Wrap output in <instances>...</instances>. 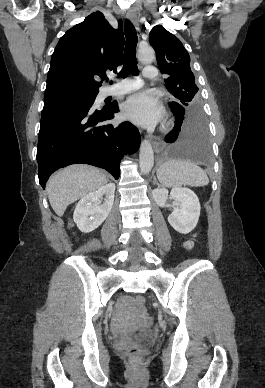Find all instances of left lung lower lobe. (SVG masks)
<instances>
[{"mask_svg":"<svg viewBox=\"0 0 265 388\" xmlns=\"http://www.w3.org/2000/svg\"><path fill=\"white\" fill-rule=\"evenodd\" d=\"M175 115V126L165 137L170 143L165 154L171 158H181L207 164L210 161L209 132L205 117L200 109H186L170 102Z\"/></svg>","mask_w":265,"mask_h":388,"instance_id":"obj_1","label":"left lung lower lobe"}]
</instances>
